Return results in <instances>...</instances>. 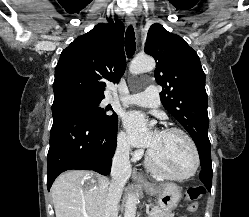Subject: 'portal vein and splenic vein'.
Returning a JSON list of instances; mask_svg holds the SVG:
<instances>
[{"mask_svg":"<svg viewBox=\"0 0 249 217\" xmlns=\"http://www.w3.org/2000/svg\"><path fill=\"white\" fill-rule=\"evenodd\" d=\"M84 217H88L86 214H84Z\"/></svg>","mask_w":249,"mask_h":217,"instance_id":"obj_1","label":"portal vein and splenic vein"}]
</instances>
